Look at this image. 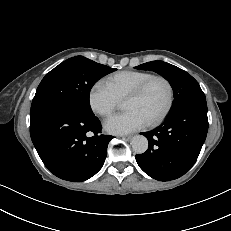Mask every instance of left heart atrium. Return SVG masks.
I'll return each instance as SVG.
<instances>
[{"label": "left heart atrium", "mask_w": 231, "mask_h": 231, "mask_svg": "<svg viewBox=\"0 0 231 231\" xmlns=\"http://www.w3.org/2000/svg\"><path fill=\"white\" fill-rule=\"evenodd\" d=\"M147 124V120L140 113L128 110L108 118L104 122V128L111 134L122 135L142 129Z\"/></svg>", "instance_id": "1"}]
</instances>
